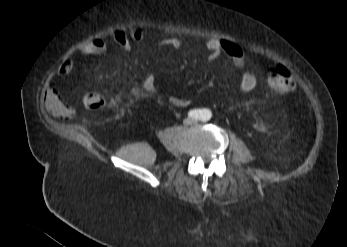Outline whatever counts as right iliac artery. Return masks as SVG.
<instances>
[{"label":"right iliac artery","instance_id":"82829eb1","mask_svg":"<svg viewBox=\"0 0 347 247\" xmlns=\"http://www.w3.org/2000/svg\"><path fill=\"white\" fill-rule=\"evenodd\" d=\"M203 111L194 109L188 112V116L193 119H200L202 117Z\"/></svg>","mask_w":347,"mask_h":247}]
</instances>
